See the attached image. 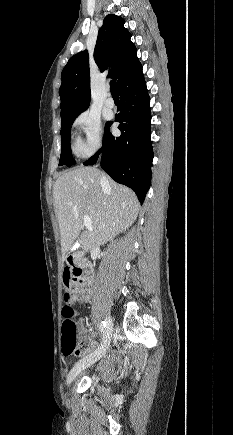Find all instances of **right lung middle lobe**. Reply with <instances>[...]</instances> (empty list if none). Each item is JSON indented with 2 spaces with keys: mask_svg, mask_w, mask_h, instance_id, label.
Returning <instances> with one entry per match:
<instances>
[{
  "mask_svg": "<svg viewBox=\"0 0 233 435\" xmlns=\"http://www.w3.org/2000/svg\"><path fill=\"white\" fill-rule=\"evenodd\" d=\"M79 115V114H78ZM78 115L61 117V157L59 160V166L67 165L71 166L75 164L72 157L70 147L71 125Z\"/></svg>",
  "mask_w": 233,
  "mask_h": 435,
  "instance_id": "right-lung-middle-lobe-1",
  "label": "right lung middle lobe"
}]
</instances>
